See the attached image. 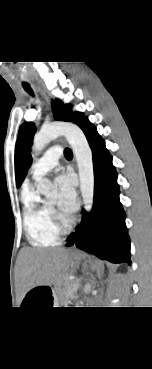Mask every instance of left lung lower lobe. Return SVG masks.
Returning <instances> with one entry per match:
<instances>
[{
	"mask_svg": "<svg viewBox=\"0 0 152 369\" xmlns=\"http://www.w3.org/2000/svg\"><path fill=\"white\" fill-rule=\"evenodd\" d=\"M93 154L95 176L94 203L90 214L84 210L81 224L71 234L66 246L75 245L113 263L130 261V239L125 212L119 200L117 172L105 141L86 118L80 125Z\"/></svg>",
	"mask_w": 152,
	"mask_h": 369,
	"instance_id": "left-lung-lower-lobe-1",
	"label": "left lung lower lobe"
}]
</instances>
